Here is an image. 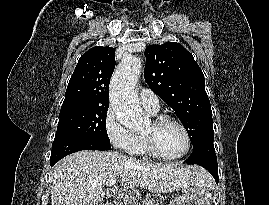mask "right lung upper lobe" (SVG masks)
I'll list each match as a JSON object with an SVG mask.
<instances>
[{
  "instance_id": "right-lung-upper-lobe-1",
  "label": "right lung upper lobe",
  "mask_w": 269,
  "mask_h": 205,
  "mask_svg": "<svg viewBox=\"0 0 269 205\" xmlns=\"http://www.w3.org/2000/svg\"><path fill=\"white\" fill-rule=\"evenodd\" d=\"M114 68V48L99 46L88 50L76 65L62 106L109 105V82Z\"/></svg>"
}]
</instances>
